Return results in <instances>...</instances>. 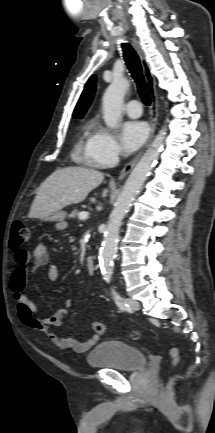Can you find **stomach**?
I'll use <instances>...</instances> for the list:
<instances>
[{"mask_svg": "<svg viewBox=\"0 0 215 433\" xmlns=\"http://www.w3.org/2000/svg\"><path fill=\"white\" fill-rule=\"evenodd\" d=\"M65 215H66L65 212L57 211V212L53 213L52 215H50L49 217L45 218V220L62 222L65 218Z\"/></svg>", "mask_w": 215, "mask_h": 433, "instance_id": "obj_1", "label": "stomach"}]
</instances>
